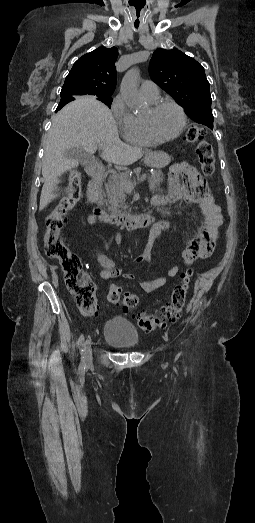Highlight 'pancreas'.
<instances>
[{
	"label": "pancreas",
	"instance_id": "1",
	"mask_svg": "<svg viewBox=\"0 0 255 523\" xmlns=\"http://www.w3.org/2000/svg\"><path fill=\"white\" fill-rule=\"evenodd\" d=\"M140 170L141 168H136V170H134L135 174L140 172ZM129 172L130 170H125V172H119V174H112V176L108 178L107 184H105L107 212L114 214V216H125V214L131 212L130 206H126L125 204L126 196L122 186L123 182H131ZM162 180L163 174L160 170L152 172V176L148 178L151 192H161L159 186Z\"/></svg>",
	"mask_w": 255,
	"mask_h": 523
}]
</instances>
